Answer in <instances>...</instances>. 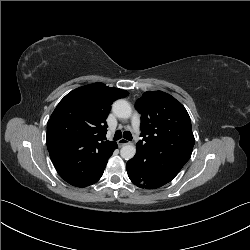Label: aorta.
<instances>
[{
	"label": "aorta",
	"mask_w": 250,
	"mask_h": 250,
	"mask_svg": "<svg viewBox=\"0 0 250 250\" xmlns=\"http://www.w3.org/2000/svg\"><path fill=\"white\" fill-rule=\"evenodd\" d=\"M112 111L118 118L128 119L132 114L130 104L124 99L116 100L112 105ZM136 154L134 145L126 144L120 150V155L123 159H132Z\"/></svg>",
	"instance_id": "aorta-1"
}]
</instances>
